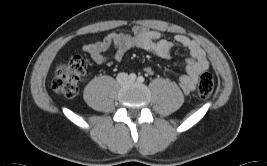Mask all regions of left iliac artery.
Segmentation results:
<instances>
[{"mask_svg": "<svg viewBox=\"0 0 267 166\" xmlns=\"http://www.w3.org/2000/svg\"><path fill=\"white\" fill-rule=\"evenodd\" d=\"M137 81L139 83H143L144 82V77L143 76H139L138 79H137Z\"/></svg>", "mask_w": 267, "mask_h": 166, "instance_id": "obj_1", "label": "left iliac artery"}]
</instances>
